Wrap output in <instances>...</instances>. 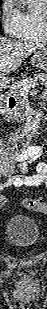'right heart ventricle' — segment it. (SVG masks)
Returning a JSON list of instances; mask_svg holds the SVG:
<instances>
[{
	"label": "right heart ventricle",
	"instance_id": "1",
	"mask_svg": "<svg viewBox=\"0 0 47 309\" xmlns=\"http://www.w3.org/2000/svg\"><path fill=\"white\" fill-rule=\"evenodd\" d=\"M40 1V8L33 9L26 13H22V27L17 38L25 43L32 45H41L46 41V33L44 30V6L46 0Z\"/></svg>",
	"mask_w": 47,
	"mask_h": 309
}]
</instances>
